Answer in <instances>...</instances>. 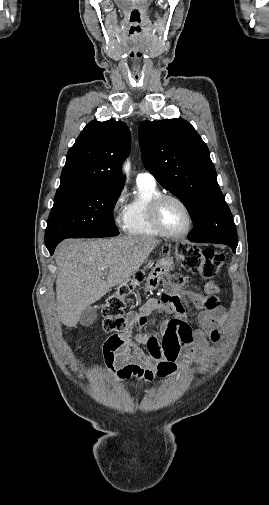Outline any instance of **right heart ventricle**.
<instances>
[{
	"label": "right heart ventricle",
	"mask_w": 269,
	"mask_h": 505,
	"mask_svg": "<svg viewBox=\"0 0 269 505\" xmlns=\"http://www.w3.org/2000/svg\"><path fill=\"white\" fill-rule=\"evenodd\" d=\"M137 190L136 196L126 205L123 228L132 236H160L150 221L148 207L150 201L161 192L156 185L146 183H137Z\"/></svg>",
	"instance_id": "e07e8e85"
}]
</instances>
